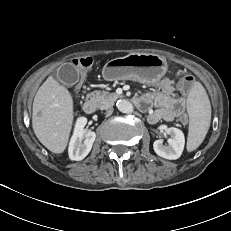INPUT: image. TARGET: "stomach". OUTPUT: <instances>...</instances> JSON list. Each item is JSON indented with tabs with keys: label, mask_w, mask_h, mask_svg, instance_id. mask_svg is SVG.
<instances>
[{
	"label": "stomach",
	"mask_w": 231,
	"mask_h": 231,
	"mask_svg": "<svg viewBox=\"0 0 231 231\" xmlns=\"http://www.w3.org/2000/svg\"><path fill=\"white\" fill-rule=\"evenodd\" d=\"M167 71V61L157 54L132 53L108 61L102 70L107 81L135 80L140 83L154 84Z\"/></svg>",
	"instance_id": "obj_1"
}]
</instances>
